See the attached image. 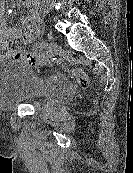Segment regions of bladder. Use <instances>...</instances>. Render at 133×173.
<instances>
[{
    "instance_id": "obj_1",
    "label": "bladder",
    "mask_w": 133,
    "mask_h": 173,
    "mask_svg": "<svg viewBox=\"0 0 133 173\" xmlns=\"http://www.w3.org/2000/svg\"><path fill=\"white\" fill-rule=\"evenodd\" d=\"M71 93L69 82L59 76L41 77L20 63L0 65V108L20 103H54Z\"/></svg>"
}]
</instances>
